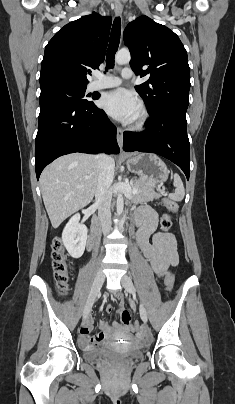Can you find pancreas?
<instances>
[{
	"label": "pancreas",
	"mask_w": 235,
	"mask_h": 404,
	"mask_svg": "<svg viewBox=\"0 0 235 404\" xmlns=\"http://www.w3.org/2000/svg\"><path fill=\"white\" fill-rule=\"evenodd\" d=\"M131 185L133 188L138 189V192L133 197L134 203H141L144 201L159 199L163 194V192L156 193L147 182L141 179L132 180Z\"/></svg>",
	"instance_id": "obj_1"
}]
</instances>
